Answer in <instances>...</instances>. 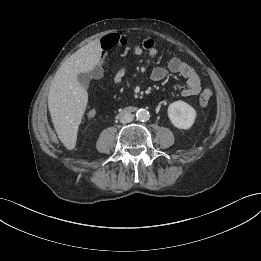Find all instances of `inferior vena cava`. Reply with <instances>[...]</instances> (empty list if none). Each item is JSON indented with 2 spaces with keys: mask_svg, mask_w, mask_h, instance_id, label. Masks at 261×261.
Segmentation results:
<instances>
[{
  "mask_svg": "<svg viewBox=\"0 0 261 261\" xmlns=\"http://www.w3.org/2000/svg\"><path fill=\"white\" fill-rule=\"evenodd\" d=\"M133 119H134V115L131 114V113L126 112V113H123L121 115L120 122L122 124H126V123H129V122L133 121Z\"/></svg>",
  "mask_w": 261,
  "mask_h": 261,
  "instance_id": "602c4592",
  "label": "inferior vena cava"
}]
</instances>
